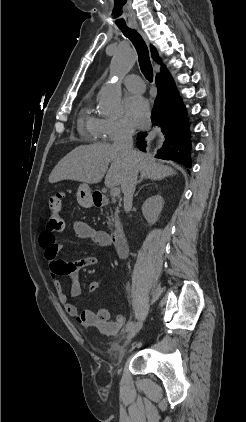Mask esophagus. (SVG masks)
<instances>
[{
  "instance_id": "esophagus-1",
  "label": "esophagus",
  "mask_w": 246,
  "mask_h": 422,
  "mask_svg": "<svg viewBox=\"0 0 246 422\" xmlns=\"http://www.w3.org/2000/svg\"><path fill=\"white\" fill-rule=\"evenodd\" d=\"M134 28L145 38L144 34L141 32L138 26H134Z\"/></svg>"
}]
</instances>
